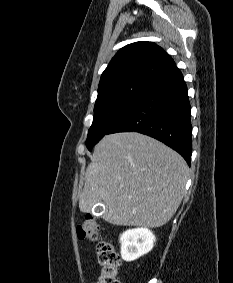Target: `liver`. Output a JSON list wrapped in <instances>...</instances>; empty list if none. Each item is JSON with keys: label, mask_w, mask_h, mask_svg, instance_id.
<instances>
[{"label": "liver", "mask_w": 233, "mask_h": 283, "mask_svg": "<svg viewBox=\"0 0 233 283\" xmlns=\"http://www.w3.org/2000/svg\"><path fill=\"white\" fill-rule=\"evenodd\" d=\"M85 173L79 209L104 204L103 219L114 225L156 228L176 213L185 192L188 166L165 144L137 132L106 135Z\"/></svg>", "instance_id": "1"}]
</instances>
